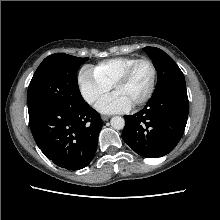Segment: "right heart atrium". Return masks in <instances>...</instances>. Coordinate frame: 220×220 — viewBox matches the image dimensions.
Here are the masks:
<instances>
[{"instance_id":"1","label":"right heart atrium","mask_w":220,"mask_h":220,"mask_svg":"<svg viewBox=\"0 0 220 220\" xmlns=\"http://www.w3.org/2000/svg\"><path fill=\"white\" fill-rule=\"evenodd\" d=\"M78 87L84 101L89 105L96 104L106 96L111 87L101 81L90 67L81 69L78 75Z\"/></svg>"}]
</instances>
